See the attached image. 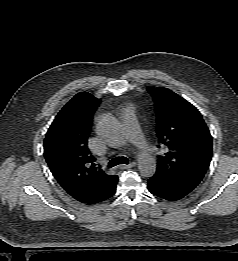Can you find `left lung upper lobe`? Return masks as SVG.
Returning a JSON list of instances; mask_svg holds the SVG:
<instances>
[{"instance_id": "obj_1", "label": "left lung upper lobe", "mask_w": 238, "mask_h": 261, "mask_svg": "<svg viewBox=\"0 0 238 261\" xmlns=\"http://www.w3.org/2000/svg\"><path fill=\"white\" fill-rule=\"evenodd\" d=\"M155 103L158 142L166 149L155 175L190 193L203 179L212 153V136L200 112L164 87L148 89Z\"/></svg>"}]
</instances>
